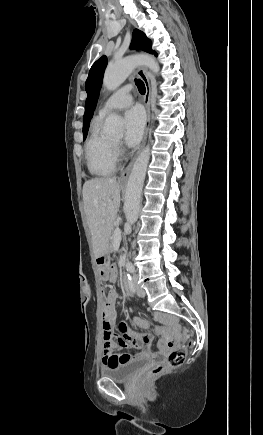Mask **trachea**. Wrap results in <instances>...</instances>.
Segmentation results:
<instances>
[{"label":"trachea","instance_id":"1","mask_svg":"<svg viewBox=\"0 0 263 435\" xmlns=\"http://www.w3.org/2000/svg\"><path fill=\"white\" fill-rule=\"evenodd\" d=\"M135 84H136V86H137L139 92H140L141 94H145V92H146V88H145V85H144L143 81L140 80V79H136V80H135Z\"/></svg>","mask_w":263,"mask_h":435}]
</instances>
